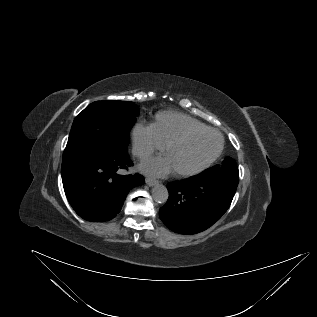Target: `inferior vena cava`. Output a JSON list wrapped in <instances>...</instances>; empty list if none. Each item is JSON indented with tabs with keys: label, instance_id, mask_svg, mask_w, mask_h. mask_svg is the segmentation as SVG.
I'll use <instances>...</instances> for the list:
<instances>
[{
	"label": "inferior vena cava",
	"instance_id": "1",
	"mask_svg": "<svg viewBox=\"0 0 317 317\" xmlns=\"http://www.w3.org/2000/svg\"><path fill=\"white\" fill-rule=\"evenodd\" d=\"M133 153L137 155H143V151L140 148H134Z\"/></svg>",
	"mask_w": 317,
	"mask_h": 317
}]
</instances>
